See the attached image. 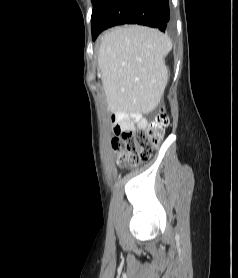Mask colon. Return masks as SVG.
I'll list each match as a JSON object with an SVG mask.
<instances>
[{
    "label": "colon",
    "mask_w": 238,
    "mask_h": 278,
    "mask_svg": "<svg viewBox=\"0 0 238 278\" xmlns=\"http://www.w3.org/2000/svg\"><path fill=\"white\" fill-rule=\"evenodd\" d=\"M168 124V115L161 110L155 121L147 127L116 133L112 145L119 155L120 163L135 166L149 160L154 148L160 144Z\"/></svg>",
    "instance_id": "5ec220e1"
}]
</instances>
